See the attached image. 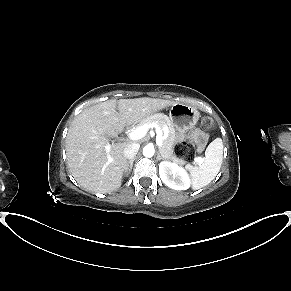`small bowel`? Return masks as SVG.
Segmentation results:
<instances>
[{"mask_svg": "<svg viewBox=\"0 0 291 291\" xmlns=\"http://www.w3.org/2000/svg\"><path fill=\"white\" fill-rule=\"evenodd\" d=\"M197 140H198L199 143L203 142V139H202L201 135H199V134L197 135Z\"/></svg>", "mask_w": 291, "mask_h": 291, "instance_id": "obj_1", "label": "small bowel"}]
</instances>
